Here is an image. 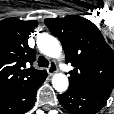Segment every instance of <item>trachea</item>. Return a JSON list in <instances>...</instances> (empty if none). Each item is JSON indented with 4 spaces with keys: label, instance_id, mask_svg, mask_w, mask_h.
I'll use <instances>...</instances> for the list:
<instances>
[{
    "label": "trachea",
    "instance_id": "1",
    "mask_svg": "<svg viewBox=\"0 0 114 114\" xmlns=\"http://www.w3.org/2000/svg\"><path fill=\"white\" fill-rule=\"evenodd\" d=\"M38 65L40 67H48L49 66V61L44 56H40L38 58Z\"/></svg>",
    "mask_w": 114,
    "mask_h": 114
}]
</instances>
